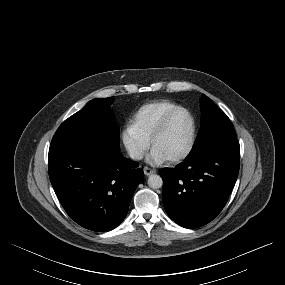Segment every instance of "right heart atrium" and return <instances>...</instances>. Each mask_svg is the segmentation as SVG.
Listing matches in <instances>:
<instances>
[{
    "instance_id": "obj_1",
    "label": "right heart atrium",
    "mask_w": 285,
    "mask_h": 285,
    "mask_svg": "<svg viewBox=\"0 0 285 285\" xmlns=\"http://www.w3.org/2000/svg\"><path fill=\"white\" fill-rule=\"evenodd\" d=\"M123 145L133 160H140L146 153L149 142L143 138L132 126L131 123L125 125L122 131Z\"/></svg>"
}]
</instances>
